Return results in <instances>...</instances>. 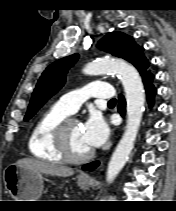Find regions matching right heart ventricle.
Masks as SVG:
<instances>
[{
  "label": "right heart ventricle",
  "mask_w": 176,
  "mask_h": 211,
  "mask_svg": "<svg viewBox=\"0 0 176 211\" xmlns=\"http://www.w3.org/2000/svg\"><path fill=\"white\" fill-rule=\"evenodd\" d=\"M69 115L70 113L58 103L52 105L40 115L28 140V149L33 157L53 163H64L54 143V130Z\"/></svg>",
  "instance_id": "e07e8e85"
}]
</instances>
